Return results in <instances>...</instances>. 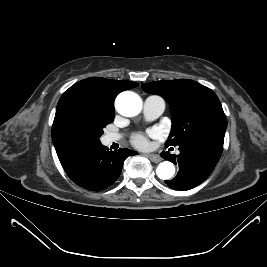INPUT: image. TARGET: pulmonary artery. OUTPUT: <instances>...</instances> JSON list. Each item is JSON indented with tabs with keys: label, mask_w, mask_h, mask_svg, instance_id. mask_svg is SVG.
I'll return each instance as SVG.
<instances>
[{
	"label": "pulmonary artery",
	"mask_w": 267,
	"mask_h": 267,
	"mask_svg": "<svg viewBox=\"0 0 267 267\" xmlns=\"http://www.w3.org/2000/svg\"><path fill=\"white\" fill-rule=\"evenodd\" d=\"M165 100L156 95L148 96L144 101V116L147 120H153L159 117L165 110ZM121 138L120 134L110 133L106 136L108 143L116 142Z\"/></svg>",
	"instance_id": "1"
}]
</instances>
